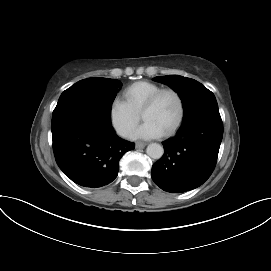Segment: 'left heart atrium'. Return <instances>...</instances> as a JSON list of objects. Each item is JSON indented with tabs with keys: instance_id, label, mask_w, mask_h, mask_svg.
Masks as SVG:
<instances>
[{
	"instance_id": "39dd6f15",
	"label": "left heart atrium",
	"mask_w": 271,
	"mask_h": 271,
	"mask_svg": "<svg viewBox=\"0 0 271 271\" xmlns=\"http://www.w3.org/2000/svg\"><path fill=\"white\" fill-rule=\"evenodd\" d=\"M163 134L164 132L162 129L159 128L154 122L145 120L143 124L132 134V138L153 139L161 137Z\"/></svg>"
}]
</instances>
